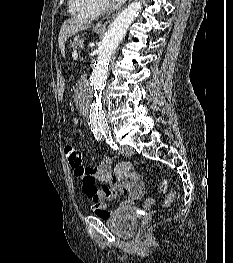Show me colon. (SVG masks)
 Wrapping results in <instances>:
<instances>
[{"instance_id":"colon-1","label":"colon","mask_w":233,"mask_h":263,"mask_svg":"<svg viewBox=\"0 0 233 263\" xmlns=\"http://www.w3.org/2000/svg\"><path fill=\"white\" fill-rule=\"evenodd\" d=\"M64 152L71 168L74 170L76 175H87L90 172L87 167L83 166L84 154L79 148L73 145H66L64 148ZM123 168V165L119 166L120 170H122ZM159 189L162 193H165L168 189V181H161ZM175 198L176 192H170L165 200V205H171L174 202Z\"/></svg>"}]
</instances>
